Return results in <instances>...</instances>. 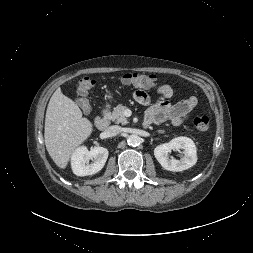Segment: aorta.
Returning <instances> with one entry per match:
<instances>
[{
  "label": "aorta",
  "instance_id": "762f6f07",
  "mask_svg": "<svg viewBox=\"0 0 253 253\" xmlns=\"http://www.w3.org/2000/svg\"><path fill=\"white\" fill-rule=\"evenodd\" d=\"M140 141H141V138L136 134L129 135L127 138L128 145H131V146L139 145Z\"/></svg>",
  "mask_w": 253,
  "mask_h": 253
}]
</instances>
